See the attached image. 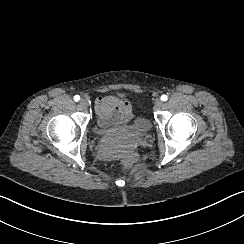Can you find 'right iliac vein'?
I'll use <instances>...</instances> for the list:
<instances>
[{
	"label": "right iliac vein",
	"instance_id": "63e3f726",
	"mask_svg": "<svg viewBox=\"0 0 244 244\" xmlns=\"http://www.w3.org/2000/svg\"><path fill=\"white\" fill-rule=\"evenodd\" d=\"M79 105L82 107V108H86L88 107L89 103L86 99H81L80 102H79Z\"/></svg>",
	"mask_w": 244,
	"mask_h": 244
}]
</instances>
